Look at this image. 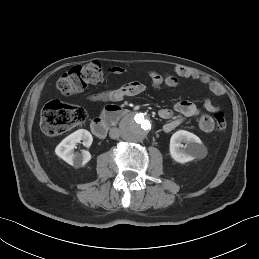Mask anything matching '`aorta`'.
<instances>
[{
  "label": "aorta",
  "instance_id": "aorta-1",
  "mask_svg": "<svg viewBox=\"0 0 259 259\" xmlns=\"http://www.w3.org/2000/svg\"><path fill=\"white\" fill-rule=\"evenodd\" d=\"M151 129L150 121L143 114L128 116L122 123L124 139L130 142H140Z\"/></svg>",
  "mask_w": 259,
  "mask_h": 259
}]
</instances>
